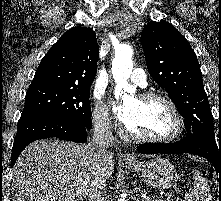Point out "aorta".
I'll list each match as a JSON object with an SVG mask.
<instances>
[{
	"label": "aorta",
	"mask_w": 221,
	"mask_h": 201,
	"mask_svg": "<svg viewBox=\"0 0 221 201\" xmlns=\"http://www.w3.org/2000/svg\"><path fill=\"white\" fill-rule=\"evenodd\" d=\"M133 50L129 45H121L115 50V58L112 62V74L116 82L115 96L130 91L128 79L132 73ZM118 201H125V199H118Z\"/></svg>",
	"instance_id": "obj_1"
}]
</instances>
